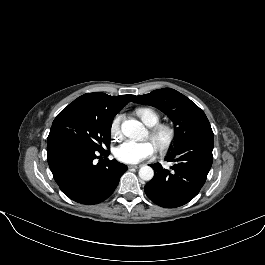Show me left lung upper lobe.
Here are the masks:
<instances>
[{
	"instance_id": "left-lung-upper-lobe-1",
	"label": "left lung upper lobe",
	"mask_w": 265,
	"mask_h": 265,
	"mask_svg": "<svg viewBox=\"0 0 265 265\" xmlns=\"http://www.w3.org/2000/svg\"><path fill=\"white\" fill-rule=\"evenodd\" d=\"M133 102L152 105L166 113L176 128L175 150L189 138L212 131L205 113L189 98L171 88L154 90L149 94L134 96Z\"/></svg>"
}]
</instances>
